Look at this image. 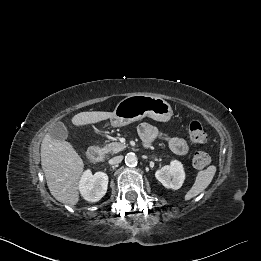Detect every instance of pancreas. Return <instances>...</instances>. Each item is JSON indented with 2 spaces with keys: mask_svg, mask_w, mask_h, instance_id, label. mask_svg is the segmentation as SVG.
<instances>
[{
  "mask_svg": "<svg viewBox=\"0 0 261 261\" xmlns=\"http://www.w3.org/2000/svg\"><path fill=\"white\" fill-rule=\"evenodd\" d=\"M125 148H126L125 144H122L120 142H112V143H109L108 145H106L103 148V151L105 153L116 154V153L124 150Z\"/></svg>",
  "mask_w": 261,
  "mask_h": 261,
  "instance_id": "pancreas-1",
  "label": "pancreas"
}]
</instances>
